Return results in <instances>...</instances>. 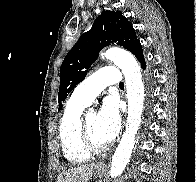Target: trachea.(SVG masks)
I'll list each match as a JSON object with an SVG mask.
<instances>
[{"mask_svg":"<svg viewBox=\"0 0 196 182\" xmlns=\"http://www.w3.org/2000/svg\"><path fill=\"white\" fill-rule=\"evenodd\" d=\"M119 86H124L123 82L119 83Z\"/></svg>","mask_w":196,"mask_h":182,"instance_id":"obj_1","label":"trachea"}]
</instances>
